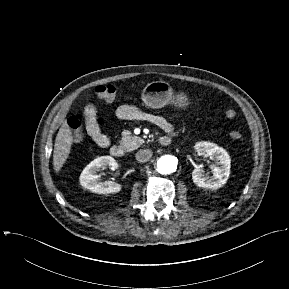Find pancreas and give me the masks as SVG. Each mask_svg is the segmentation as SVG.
Here are the masks:
<instances>
[{
    "instance_id": "cf45deb5",
    "label": "pancreas",
    "mask_w": 289,
    "mask_h": 289,
    "mask_svg": "<svg viewBox=\"0 0 289 289\" xmlns=\"http://www.w3.org/2000/svg\"><path fill=\"white\" fill-rule=\"evenodd\" d=\"M144 143V140L138 136H133L129 130L122 132V139L120 141L121 146L126 151H133L140 147Z\"/></svg>"
}]
</instances>
